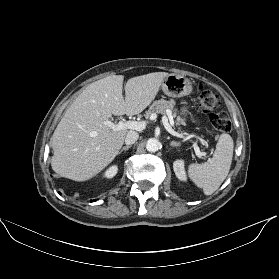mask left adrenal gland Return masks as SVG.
I'll return each mask as SVG.
<instances>
[{
    "label": "left adrenal gland",
    "mask_w": 279,
    "mask_h": 279,
    "mask_svg": "<svg viewBox=\"0 0 279 279\" xmlns=\"http://www.w3.org/2000/svg\"><path fill=\"white\" fill-rule=\"evenodd\" d=\"M170 145L172 146V147H178V146H180V144L178 143V142H171L170 143Z\"/></svg>",
    "instance_id": "left-adrenal-gland-1"
}]
</instances>
